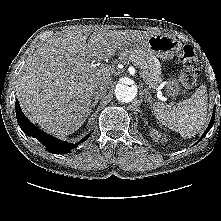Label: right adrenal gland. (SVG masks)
Segmentation results:
<instances>
[{
    "label": "right adrenal gland",
    "instance_id": "1",
    "mask_svg": "<svg viewBox=\"0 0 221 221\" xmlns=\"http://www.w3.org/2000/svg\"><path fill=\"white\" fill-rule=\"evenodd\" d=\"M97 102H98V100L97 99H95V101L91 104V107H90V112L89 113H91L92 112V108H94L95 107V105L97 104Z\"/></svg>",
    "mask_w": 221,
    "mask_h": 221
}]
</instances>
